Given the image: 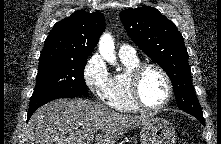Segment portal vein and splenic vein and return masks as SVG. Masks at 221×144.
<instances>
[{
  "instance_id": "portal-vein-and-splenic-vein-1",
  "label": "portal vein and splenic vein",
  "mask_w": 221,
  "mask_h": 144,
  "mask_svg": "<svg viewBox=\"0 0 221 144\" xmlns=\"http://www.w3.org/2000/svg\"><path fill=\"white\" fill-rule=\"evenodd\" d=\"M90 142H86L85 144H89Z\"/></svg>"
}]
</instances>
